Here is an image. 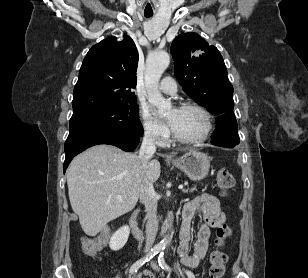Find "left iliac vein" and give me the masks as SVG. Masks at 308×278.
<instances>
[{
	"mask_svg": "<svg viewBox=\"0 0 308 278\" xmlns=\"http://www.w3.org/2000/svg\"><path fill=\"white\" fill-rule=\"evenodd\" d=\"M150 264H151V267H152L154 270L159 271V268H158L157 264H156L154 261H151Z\"/></svg>",
	"mask_w": 308,
	"mask_h": 278,
	"instance_id": "obj_1",
	"label": "left iliac vein"
}]
</instances>
